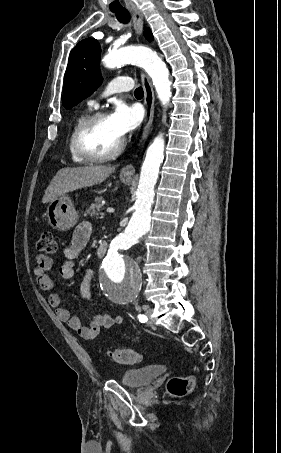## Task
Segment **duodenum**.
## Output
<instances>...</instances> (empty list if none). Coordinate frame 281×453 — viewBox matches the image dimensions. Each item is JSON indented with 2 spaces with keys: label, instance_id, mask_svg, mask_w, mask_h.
<instances>
[{
  "label": "duodenum",
  "instance_id": "1",
  "mask_svg": "<svg viewBox=\"0 0 281 453\" xmlns=\"http://www.w3.org/2000/svg\"><path fill=\"white\" fill-rule=\"evenodd\" d=\"M106 251H107V244L105 242L99 243L97 250H96L97 256L99 258L104 257V255L106 254Z\"/></svg>",
  "mask_w": 281,
  "mask_h": 453
}]
</instances>
